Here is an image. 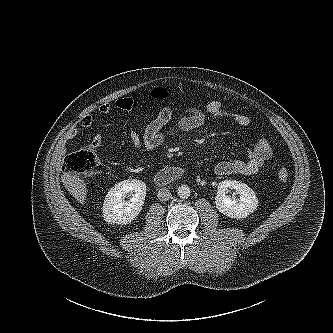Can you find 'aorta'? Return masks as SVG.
Returning <instances> with one entry per match:
<instances>
[{
	"label": "aorta",
	"mask_w": 333,
	"mask_h": 333,
	"mask_svg": "<svg viewBox=\"0 0 333 333\" xmlns=\"http://www.w3.org/2000/svg\"><path fill=\"white\" fill-rule=\"evenodd\" d=\"M177 194L180 198L187 199L190 196L191 191L187 185H181L177 189Z\"/></svg>",
	"instance_id": "aorta-1"
}]
</instances>
